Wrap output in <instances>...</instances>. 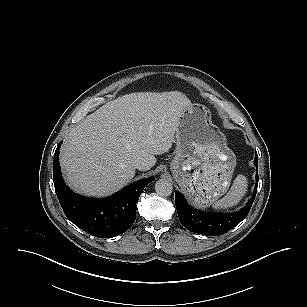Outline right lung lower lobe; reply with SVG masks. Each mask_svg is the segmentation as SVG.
<instances>
[{
    "label": "right lung lower lobe",
    "mask_w": 307,
    "mask_h": 307,
    "mask_svg": "<svg viewBox=\"0 0 307 307\" xmlns=\"http://www.w3.org/2000/svg\"><path fill=\"white\" fill-rule=\"evenodd\" d=\"M54 154V187L66 217L85 232L109 238L126 232L135 222V206L140 194L154 177L139 180L120 192L104 198L91 199L76 195L65 185L59 164L60 144Z\"/></svg>",
    "instance_id": "98d812e1"
}]
</instances>
